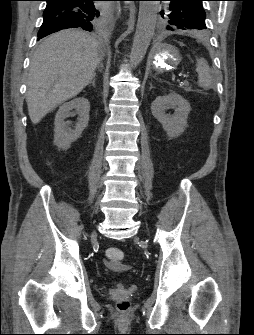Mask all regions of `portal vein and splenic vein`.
<instances>
[{
  "instance_id": "18ae733b",
  "label": "portal vein and splenic vein",
  "mask_w": 254,
  "mask_h": 335,
  "mask_svg": "<svg viewBox=\"0 0 254 335\" xmlns=\"http://www.w3.org/2000/svg\"><path fill=\"white\" fill-rule=\"evenodd\" d=\"M183 77H184V78H188L189 75H188V74H184Z\"/></svg>"
}]
</instances>
